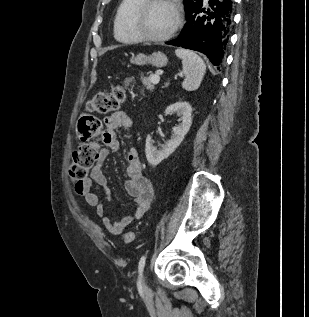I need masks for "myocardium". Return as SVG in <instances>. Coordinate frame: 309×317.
<instances>
[{"mask_svg":"<svg viewBox=\"0 0 309 317\" xmlns=\"http://www.w3.org/2000/svg\"><path fill=\"white\" fill-rule=\"evenodd\" d=\"M157 3H168L170 4L176 13V21L174 26L170 31L166 34L161 36H153L147 34L142 29V21L149 11V9ZM183 12L179 0H143V2L134 10L132 17H131V29L134 34L141 40L145 42H152V43H160L165 42L171 39L175 34L180 30L183 25Z\"/></svg>","mask_w":309,"mask_h":317,"instance_id":"1","label":"myocardium"}]
</instances>
